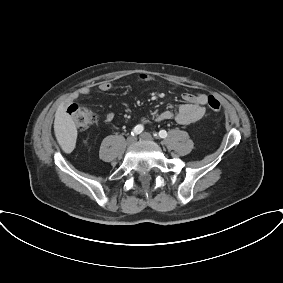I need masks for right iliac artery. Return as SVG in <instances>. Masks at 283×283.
Returning a JSON list of instances; mask_svg holds the SVG:
<instances>
[{"instance_id":"82829eb1","label":"right iliac artery","mask_w":283,"mask_h":283,"mask_svg":"<svg viewBox=\"0 0 283 283\" xmlns=\"http://www.w3.org/2000/svg\"><path fill=\"white\" fill-rule=\"evenodd\" d=\"M143 130H144V127H143L141 124H139V125H136V126L134 127V129L132 130L131 134H132L133 136H134V135H138V134H140Z\"/></svg>"}]
</instances>
